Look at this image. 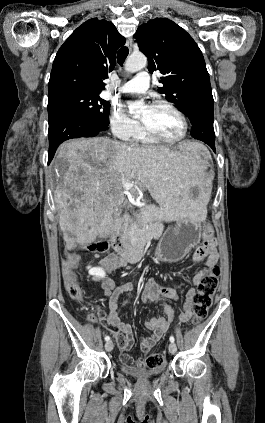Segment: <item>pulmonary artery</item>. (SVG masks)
<instances>
[{
    "mask_svg": "<svg viewBox=\"0 0 265 423\" xmlns=\"http://www.w3.org/2000/svg\"><path fill=\"white\" fill-rule=\"evenodd\" d=\"M149 88V75L146 71L139 72L136 77L119 87L122 93L142 94Z\"/></svg>",
    "mask_w": 265,
    "mask_h": 423,
    "instance_id": "e3ab8cb5",
    "label": "pulmonary artery"
}]
</instances>
